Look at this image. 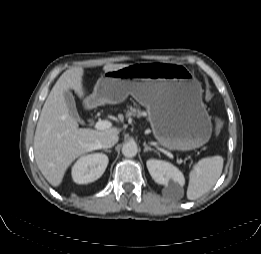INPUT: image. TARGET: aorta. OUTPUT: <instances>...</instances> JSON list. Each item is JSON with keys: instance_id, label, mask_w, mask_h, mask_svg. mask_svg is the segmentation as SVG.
Wrapping results in <instances>:
<instances>
[{"instance_id": "762f6f07", "label": "aorta", "mask_w": 261, "mask_h": 254, "mask_svg": "<svg viewBox=\"0 0 261 254\" xmlns=\"http://www.w3.org/2000/svg\"><path fill=\"white\" fill-rule=\"evenodd\" d=\"M137 152H138V147L135 142H127L122 147V154L125 157L132 158L136 156Z\"/></svg>"}]
</instances>
